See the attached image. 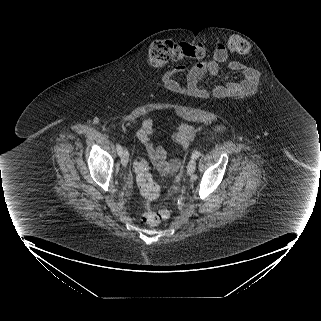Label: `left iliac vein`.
Here are the masks:
<instances>
[{"label": "left iliac vein", "instance_id": "4c4485c4", "mask_svg": "<svg viewBox=\"0 0 321 321\" xmlns=\"http://www.w3.org/2000/svg\"><path fill=\"white\" fill-rule=\"evenodd\" d=\"M196 169V161L195 159H191L187 165V172L188 174H193Z\"/></svg>", "mask_w": 321, "mask_h": 321}]
</instances>
